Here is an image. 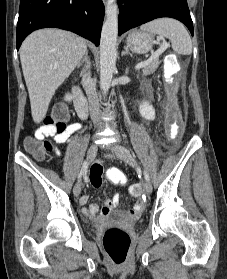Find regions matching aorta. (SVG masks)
Listing matches in <instances>:
<instances>
[{"mask_svg":"<svg viewBox=\"0 0 227 279\" xmlns=\"http://www.w3.org/2000/svg\"><path fill=\"white\" fill-rule=\"evenodd\" d=\"M118 36V5L108 0L100 40V87L106 93L116 68V43Z\"/></svg>","mask_w":227,"mask_h":279,"instance_id":"762f6f07","label":"aorta"}]
</instances>
